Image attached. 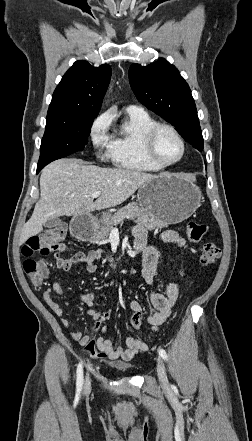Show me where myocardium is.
Here are the masks:
<instances>
[{
	"mask_svg": "<svg viewBox=\"0 0 252 441\" xmlns=\"http://www.w3.org/2000/svg\"><path fill=\"white\" fill-rule=\"evenodd\" d=\"M163 130L169 131L171 134H173L181 145L182 150L180 156L171 162H163L162 160H160L155 151L156 138L158 134ZM144 150L148 159L152 163L160 168H167L179 163L184 158L186 153V142L181 134L177 131V129L174 128L172 125L165 123H156L146 132L144 136Z\"/></svg>",
	"mask_w": 252,
	"mask_h": 441,
	"instance_id": "obj_1",
	"label": "myocardium"
}]
</instances>
